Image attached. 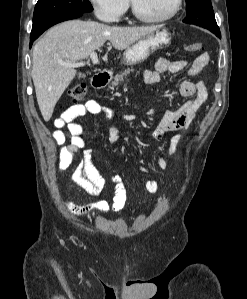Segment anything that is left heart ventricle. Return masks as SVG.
<instances>
[{
    "label": "left heart ventricle",
    "instance_id": "obj_1",
    "mask_svg": "<svg viewBox=\"0 0 247 299\" xmlns=\"http://www.w3.org/2000/svg\"><path fill=\"white\" fill-rule=\"evenodd\" d=\"M135 2L144 15L158 17L169 13L175 0H135Z\"/></svg>",
    "mask_w": 247,
    "mask_h": 299
}]
</instances>
